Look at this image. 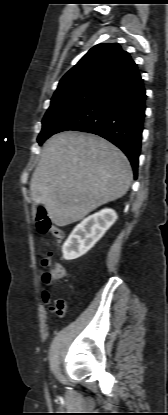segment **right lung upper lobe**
Instances as JSON below:
<instances>
[{"instance_id":"cb5924a9","label":"right lung upper lobe","mask_w":168,"mask_h":415,"mask_svg":"<svg viewBox=\"0 0 168 415\" xmlns=\"http://www.w3.org/2000/svg\"><path fill=\"white\" fill-rule=\"evenodd\" d=\"M137 66L118 43L92 47L60 80L52 99L75 91H103Z\"/></svg>"}]
</instances>
